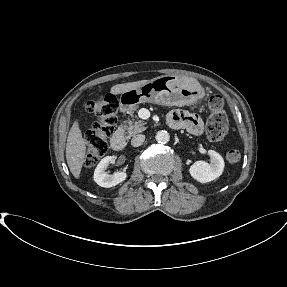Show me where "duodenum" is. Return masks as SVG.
<instances>
[{
    "label": "duodenum",
    "instance_id": "410a0bca",
    "mask_svg": "<svg viewBox=\"0 0 287 287\" xmlns=\"http://www.w3.org/2000/svg\"><path fill=\"white\" fill-rule=\"evenodd\" d=\"M111 146L115 151H123L126 148V140L121 132H116L111 138Z\"/></svg>",
    "mask_w": 287,
    "mask_h": 287
}]
</instances>
